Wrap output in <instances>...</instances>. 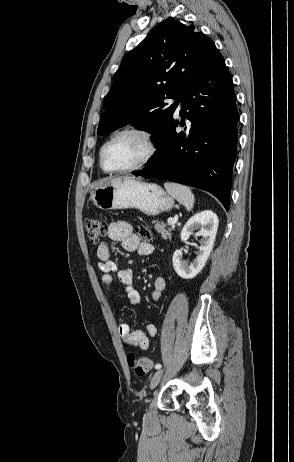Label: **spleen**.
Returning <instances> with one entry per match:
<instances>
[{
	"label": "spleen",
	"instance_id": "1",
	"mask_svg": "<svg viewBox=\"0 0 294 462\" xmlns=\"http://www.w3.org/2000/svg\"><path fill=\"white\" fill-rule=\"evenodd\" d=\"M164 187L168 194L183 204L188 211L192 210L195 198L190 188L176 183H165Z\"/></svg>",
	"mask_w": 294,
	"mask_h": 462
}]
</instances>
